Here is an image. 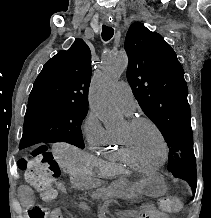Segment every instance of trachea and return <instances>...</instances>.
I'll use <instances>...</instances> for the list:
<instances>
[{
    "instance_id": "3493384b",
    "label": "trachea",
    "mask_w": 211,
    "mask_h": 218,
    "mask_svg": "<svg viewBox=\"0 0 211 218\" xmlns=\"http://www.w3.org/2000/svg\"><path fill=\"white\" fill-rule=\"evenodd\" d=\"M114 30L112 27H107L106 25L102 26V39L107 42L112 38Z\"/></svg>"
}]
</instances>
